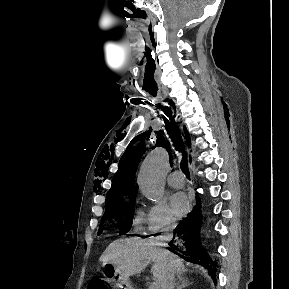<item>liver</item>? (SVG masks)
I'll return each mask as SVG.
<instances>
[{"label":"liver","mask_w":289,"mask_h":289,"mask_svg":"<svg viewBox=\"0 0 289 289\" xmlns=\"http://www.w3.org/2000/svg\"><path fill=\"white\" fill-rule=\"evenodd\" d=\"M151 261L153 262L151 273L159 289L166 265H170L173 272L180 277L186 272L181 258L138 237L112 242L100 257V262L111 263L125 277L140 274Z\"/></svg>","instance_id":"liver-1"}]
</instances>
